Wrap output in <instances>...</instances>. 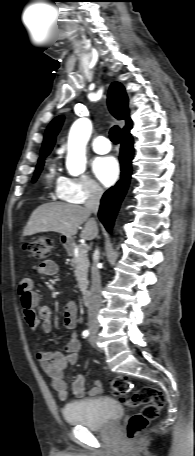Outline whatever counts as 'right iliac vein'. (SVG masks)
<instances>
[{"mask_svg": "<svg viewBox=\"0 0 195 456\" xmlns=\"http://www.w3.org/2000/svg\"><path fill=\"white\" fill-rule=\"evenodd\" d=\"M97 329L96 328H91V333H96Z\"/></svg>", "mask_w": 195, "mask_h": 456, "instance_id": "63e3f726", "label": "right iliac vein"}]
</instances>
